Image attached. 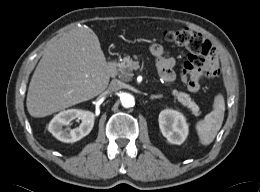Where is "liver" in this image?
Listing matches in <instances>:
<instances>
[{
	"mask_svg": "<svg viewBox=\"0 0 260 192\" xmlns=\"http://www.w3.org/2000/svg\"><path fill=\"white\" fill-rule=\"evenodd\" d=\"M107 62L96 34L76 28L55 40L31 78L26 106L33 117H45L90 100L108 86Z\"/></svg>",
	"mask_w": 260,
	"mask_h": 192,
	"instance_id": "1",
	"label": "liver"
}]
</instances>
